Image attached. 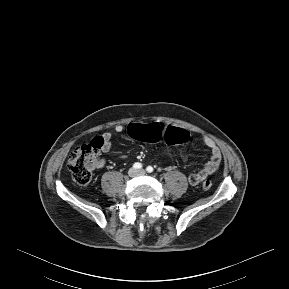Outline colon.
<instances>
[{
  "mask_svg": "<svg viewBox=\"0 0 289 289\" xmlns=\"http://www.w3.org/2000/svg\"><path fill=\"white\" fill-rule=\"evenodd\" d=\"M129 135L141 142H158L164 140L169 144L183 143L188 140L189 133L177 127H168L164 122H134L128 128ZM103 146L102 137H96L87 144L78 146L69 156L67 166L76 185L88 184L92 171L100 163V152ZM212 182L206 180L202 184L204 190H209Z\"/></svg>",
  "mask_w": 289,
  "mask_h": 289,
  "instance_id": "colon-1",
  "label": "colon"
}]
</instances>
